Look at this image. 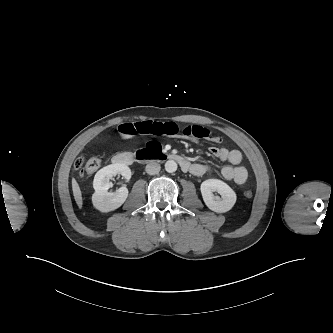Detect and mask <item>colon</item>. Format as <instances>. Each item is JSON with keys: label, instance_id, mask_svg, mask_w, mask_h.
Instances as JSON below:
<instances>
[{"label": "colon", "instance_id": "colon-1", "mask_svg": "<svg viewBox=\"0 0 333 333\" xmlns=\"http://www.w3.org/2000/svg\"><path fill=\"white\" fill-rule=\"evenodd\" d=\"M100 167V160L96 157L86 159L84 156L78 158L75 163V168L81 177H88L94 174ZM246 198L252 197V192L247 190L244 192Z\"/></svg>", "mask_w": 333, "mask_h": 333}]
</instances>
